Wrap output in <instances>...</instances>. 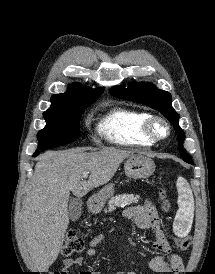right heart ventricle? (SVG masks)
I'll return each mask as SVG.
<instances>
[{
	"instance_id": "obj_1",
	"label": "right heart ventricle",
	"mask_w": 215,
	"mask_h": 274,
	"mask_svg": "<svg viewBox=\"0 0 215 274\" xmlns=\"http://www.w3.org/2000/svg\"><path fill=\"white\" fill-rule=\"evenodd\" d=\"M151 115L147 112L116 107L98 123L97 132L106 141L120 146H150L154 142L144 133V123Z\"/></svg>"
}]
</instances>
